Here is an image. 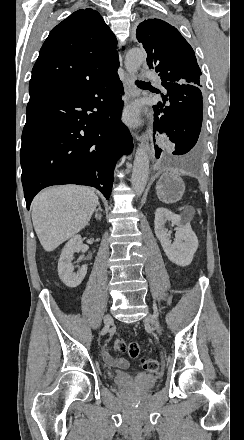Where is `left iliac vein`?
<instances>
[{
  "instance_id": "4c4485c4",
  "label": "left iliac vein",
  "mask_w": 244,
  "mask_h": 440,
  "mask_svg": "<svg viewBox=\"0 0 244 440\" xmlns=\"http://www.w3.org/2000/svg\"><path fill=\"white\" fill-rule=\"evenodd\" d=\"M145 322L148 324H152L153 326H155L156 330L160 333L161 329L159 327L158 324V318L155 315L149 314L146 318H145Z\"/></svg>"
}]
</instances>
